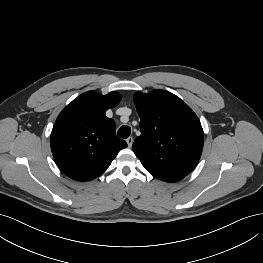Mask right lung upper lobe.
<instances>
[{
	"label": "right lung upper lobe",
	"instance_id": "obj_1",
	"mask_svg": "<svg viewBox=\"0 0 263 263\" xmlns=\"http://www.w3.org/2000/svg\"><path fill=\"white\" fill-rule=\"evenodd\" d=\"M121 100L111 92L105 96L88 91L59 114L50 136L53 157L68 177L78 181L97 178L127 143L115 134L116 124L105 112Z\"/></svg>",
	"mask_w": 263,
	"mask_h": 263
}]
</instances>
